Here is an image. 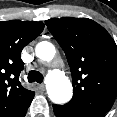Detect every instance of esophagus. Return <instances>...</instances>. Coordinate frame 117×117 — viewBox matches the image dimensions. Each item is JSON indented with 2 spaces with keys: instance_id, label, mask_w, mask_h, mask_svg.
<instances>
[{
  "instance_id": "obj_1",
  "label": "esophagus",
  "mask_w": 117,
  "mask_h": 117,
  "mask_svg": "<svg viewBox=\"0 0 117 117\" xmlns=\"http://www.w3.org/2000/svg\"><path fill=\"white\" fill-rule=\"evenodd\" d=\"M38 88L40 91H44L45 90V85L44 84H39Z\"/></svg>"
}]
</instances>
